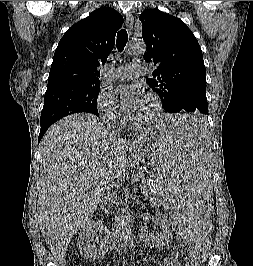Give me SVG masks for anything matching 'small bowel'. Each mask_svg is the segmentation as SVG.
<instances>
[{
  "label": "small bowel",
  "instance_id": "small-bowel-1",
  "mask_svg": "<svg viewBox=\"0 0 253 266\" xmlns=\"http://www.w3.org/2000/svg\"><path fill=\"white\" fill-rule=\"evenodd\" d=\"M112 266H117V265H112ZM160 266H181V265L176 256H171L165 258L163 264H161Z\"/></svg>",
  "mask_w": 253,
  "mask_h": 266
}]
</instances>
